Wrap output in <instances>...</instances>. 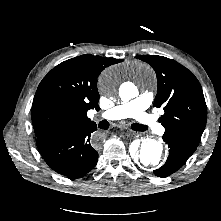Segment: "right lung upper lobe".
Returning <instances> with one entry per match:
<instances>
[{"label": "right lung upper lobe", "instance_id": "right-lung-upper-lobe-1", "mask_svg": "<svg viewBox=\"0 0 221 221\" xmlns=\"http://www.w3.org/2000/svg\"><path fill=\"white\" fill-rule=\"evenodd\" d=\"M121 59L85 54L53 68L39 84L33 104L32 123L37 138L89 124V109L99 110L97 78Z\"/></svg>", "mask_w": 221, "mask_h": 221}]
</instances>
